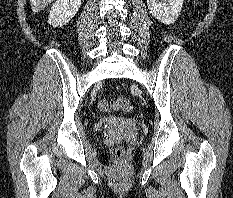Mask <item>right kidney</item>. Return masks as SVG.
<instances>
[{
	"label": "right kidney",
	"instance_id": "obj_1",
	"mask_svg": "<svg viewBox=\"0 0 233 198\" xmlns=\"http://www.w3.org/2000/svg\"><path fill=\"white\" fill-rule=\"evenodd\" d=\"M81 0H57L50 11L48 23L53 27L68 23L78 12Z\"/></svg>",
	"mask_w": 233,
	"mask_h": 198
}]
</instances>
